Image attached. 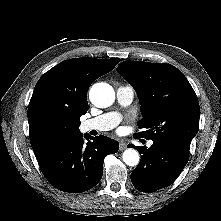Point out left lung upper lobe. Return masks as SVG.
Listing matches in <instances>:
<instances>
[{
    "instance_id": "1",
    "label": "left lung upper lobe",
    "mask_w": 221,
    "mask_h": 221,
    "mask_svg": "<svg viewBox=\"0 0 221 221\" xmlns=\"http://www.w3.org/2000/svg\"><path fill=\"white\" fill-rule=\"evenodd\" d=\"M137 91L143 119L135 137L162 141L189 154L199 129L197 96L183 73L170 64L124 61L116 69Z\"/></svg>"
}]
</instances>
